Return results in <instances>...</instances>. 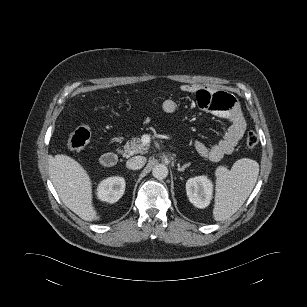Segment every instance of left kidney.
Masks as SVG:
<instances>
[{
    "label": "left kidney",
    "instance_id": "left-kidney-1",
    "mask_svg": "<svg viewBox=\"0 0 307 307\" xmlns=\"http://www.w3.org/2000/svg\"><path fill=\"white\" fill-rule=\"evenodd\" d=\"M186 193L189 201L197 208L210 204L213 193L212 181L207 176H196L186 182Z\"/></svg>",
    "mask_w": 307,
    "mask_h": 307
}]
</instances>
